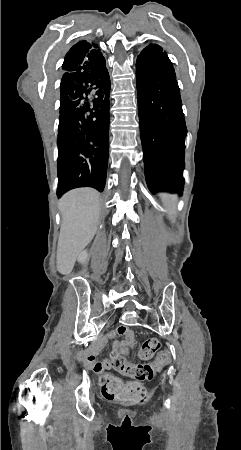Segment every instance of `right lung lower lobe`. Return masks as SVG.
<instances>
[{"label":"right lung lower lobe","mask_w":241,"mask_h":450,"mask_svg":"<svg viewBox=\"0 0 241 450\" xmlns=\"http://www.w3.org/2000/svg\"><path fill=\"white\" fill-rule=\"evenodd\" d=\"M110 77L105 60L64 72L60 83L57 196L78 187L102 192L109 144Z\"/></svg>","instance_id":"98d812e1"}]
</instances>
